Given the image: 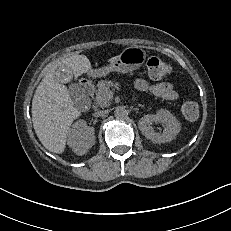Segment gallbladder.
Instances as JSON below:
<instances>
[{
	"mask_svg": "<svg viewBox=\"0 0 231 231\" xmlns=\"http://www.w3.org/2000/svg\"><path fill=\"white\" fill-rule=\"evenodd\" d=\"M56 78L63 83L68 82L72 78V73L66 66H61L56 73ZM71 93L74 98L80 99L83 97L84 92L81 86L74 85L71 88Z\"/></svg>",
	"mask_w": 231,
	"mask_h": 231,
	"instance_id": "bac80fb5",
	"label": "gallbladder"
}]
</instances>
